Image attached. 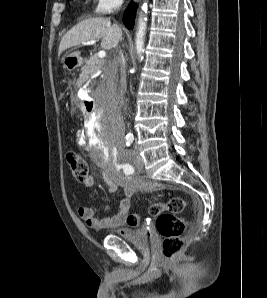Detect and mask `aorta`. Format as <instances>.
<instances>
[{"label": "aorta", "instance_id": "762f6f07", "mask_svg": "<svg viewBox=\"0 0 267 298\" xmlns=\"http://www.w3.org/2000/svg\"><path fill=\"white\" fill-rule=\"evenodd\" d=\"M143 10L145 11V13L147 12V3L144 4ZM146 24H147V18L141 14L138 20V28L136 32V38H135L136 52L139 57H141L144 52Z\"/></svg>", "mask_w": 267, "mask_h": 298}]
</instances>
